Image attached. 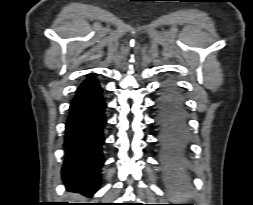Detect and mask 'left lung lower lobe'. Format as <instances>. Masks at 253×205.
Listing matches in <instances>:
<instances>
[{
	"instance_id": "0a47b994",
	"label": "left lung lower lobe",
	"mask_w": 253,
	"mask_h": 205,
	"mask_svg": "<svg viewBox=\"0 0 253 205\" xmlns=\"http://www.w3.org/2000/svg\"><path fill=\"white\" fill-rule=\"evenodd\" d=\"M157 123L162 130L164 157L170 163H180L184 146L185 122L178 97L171 91L165 92L158 102Z\"/></svg>"
}]
</instances>
